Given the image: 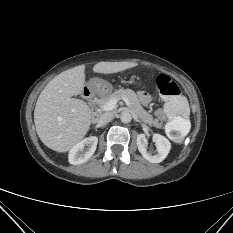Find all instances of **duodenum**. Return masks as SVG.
<instances>
[{"label": "duodenum", "mask_w": 233, "mask_h": 233, "mask_svg": "<svg viewBox=\"0 0 233 233\" xmlns=\"http://www.w3.org/2000/svg\"><path fill=\"white\" fill-rule=\"evenodd\" d=\"M83 95L87 98L90 102H93V93L92 90L89 88H85L83 90ZM98 118V113L96 111L93 112V119L96 120Z\"/></svg>", "instance_id": "410a0bca"}]
</instances>
